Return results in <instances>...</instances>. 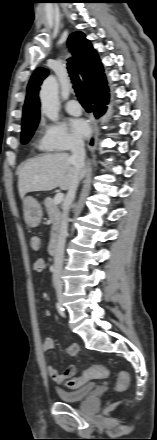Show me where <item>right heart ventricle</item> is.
<instances>
[{"label": "right heart ventricle", "instance_id": "obj_1", "mask_svg": "<svg viewBox=\"0 0 157 440\" xmlns=\"http://www.w3.org/2000/svg\"><path fill=\"white\" fill-rule=\"evenodd\" d=\"M38 148H39L40 150H42V151H48V150L42 145V142H41V141L38 142Z\"/></svg>", "mask_w": 157, "mask_h": 440}]
</instances>
